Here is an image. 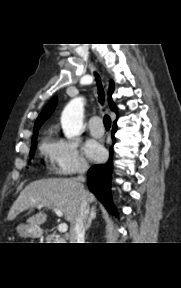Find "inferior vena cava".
<instances>
[{
  "label": "inferior vena cava",
  "mask_w": 181,
  "mask_h": 288,
  "mask_svg": "<svg viewBox=\"0 0 181 288\" xmlns=\"http://www.w3.org/2000/svg\"><path fill=\"white\" fill-rule=\"evenodd\" d=\"M87 170L88 165L82 164L78 171L79 175L77 177V181L80 184L82 190H83L82 183L85 181L84 174L86 173ZM88 213H89V205L86 200L84 191H82L78 216L70 227V243H84L86 219Z\"/></svg>",
  "instance_id": "inferior-vena-cava-1"
}]
</instances>
